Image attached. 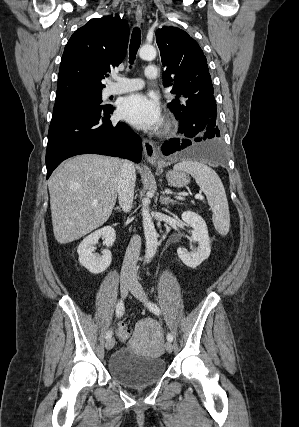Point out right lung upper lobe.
I'll use <instances>...</instances> for the list:
<instances>
[{
	"instance_id": "obj_1",
	"label": "right lung upper lobe",
	"mask_w": 299,
	"mask_h": 427,
	"mask_svg": "<svg viewBox=\"0 0 299 427\" xmlns=\"http://www.w3.org/2000/svg\"><path fill=\"white\" fill-rule=\"evenodd\" d=\"M129 28L119 16L91 19L67 42L61 59L56 102L99 93L104 75L125 57Z\"/></svg>"
}]
</instances>
